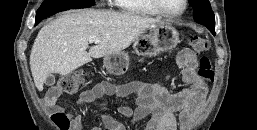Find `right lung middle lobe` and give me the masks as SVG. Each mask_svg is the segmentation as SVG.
Returning a JSON list of instances; mask_svg holds the SVG:
<instances>
[{
	"instance_id": "right-lung-middle-lobe-1",
	"label": "right lung middle lobe",
	"mask_w": 257,
	"mask_h": 130,
	"mask_svg": "<svg viewBox=\"0 0 257 130\" xmlns=\"http://www.w3.org/2000/svg\"><path fill=\"white\" fill-rule=\"evenodd\" d=\"M94 0H44L36 13V23L63 9L71 7H91Z\"/></svg>"
}]
</instances>
